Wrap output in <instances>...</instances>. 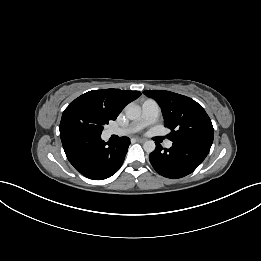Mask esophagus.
<instances>
[{
  "instance_id": "esophagus-1",
  "label": "esophagus",
  "mask_w": 261,
  "mask_h": 261,
  "mask_svg": "<svg viewBox=\"0 0 261 261\" xmlns=\"http://www.w3.org/2000/svg\"><path fill=\"white\" fill-rule=\"evenodd\" d=\"M135 140H136V142H138V143H143V142H145V139H142V138H136Z\"/></svg>"
}]
</instances>
